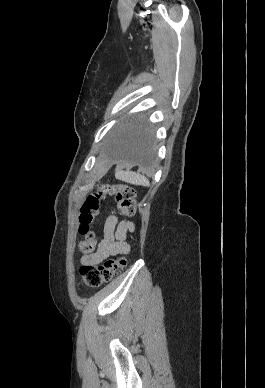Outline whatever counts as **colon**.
I'll return each instance as SVG.
<instances>
[{
    "label": "colon",
    "instance_id": "5ec220e1",
    "mask_svg": "<svg viewBox=\"0 0 265 388\" xmlns=\"http://www.w3.org/2000/svg\"><path fill=\"white\" fill-rule=\"evenodd\" d=\"M107 195L116 198L119 212L124 217L135 213V189L125 184H104L95 193L90 194L83 202L79 214V234L83 237L79 243V251L83 255L93 252L96 244V234L91 225L99 214L102 199ZM127 257L121 255L105 260L100 265H84L80 268L82 282L92 288L101 286L113 279L126 266Z\"/></svg>",
    "mask_w": 265,
    "mask_h": 388
}]
</instances>
